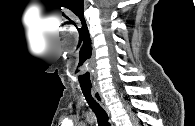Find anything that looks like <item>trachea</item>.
Returning a JSON list of instances; mask_svg holds the SVG:
<instances>
[{
    "label": "trachea",
    "instance_id": "trachea-1",
    "mask_svg": "<svg viewBox=\"0 0 195 126\" xmlns=\"http://www.w3.org/2000/svg\"><path fill=\"white\" fill-rule=\"evenodd\" d=\"M82 92L86 98L87 103L90 108L93 110L97 117L99 126H110L108 121V115L104 108L93 98L91 94V87H82Z\"/></svg>",
    "mask_w": 195,
    "mask_h": 126
}]
</instances>
